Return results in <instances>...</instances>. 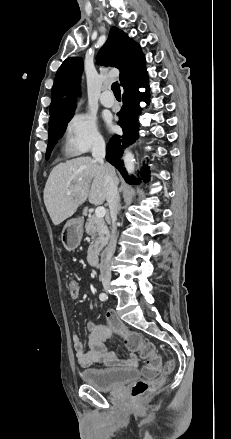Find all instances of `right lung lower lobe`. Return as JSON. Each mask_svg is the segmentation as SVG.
Listing matches in <instances>:
<instances>
[{
  "instance_id": "98d812e1",
  "label": "right lung lower lobe",
  "mask_w": 231,
  "mask_h": 439,
  "mask_svg": "<svg viewBox=\"0 0 231 439\" xmlns=\"http://www.w3.org/2000/svg\"><path fill=\"white\" fill-rule=\"evenodd\" d=\"M140 87L146 88V91L144 93L139 92L138 88ZM141 100H144L149 104V84L147 75L124 90L122 96L123 106L118 113L120 117L118 124L123 129V135H115L106 148V160L119 170L129 184H137L139 178L127 175L121 156L123 149L129 144H133L139 138V123L137 117L141 112V107L139 106ZM141 174L143 175L142 179L145 180V182H148L149 168L143 166Z\"/></svg>"
}]
</instances>
